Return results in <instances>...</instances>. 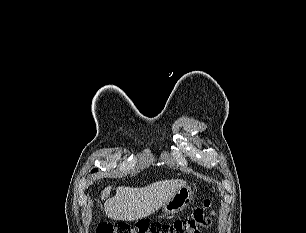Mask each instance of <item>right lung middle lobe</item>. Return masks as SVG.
<instances>
[{"mask_svg":"<svg viewBox=\"0 0 306 233\" xmlns=\"http://www.w3.org/2000/svg\"><path fill=\"white\" fill-rule=\"evenodd\" d=\"M97 171V169H93L92 172Z\"/></svg>","mask_w":306,"mask_h":233,"instance_id":"dd1d6c3e","label":"right lung middle lobe"}]
</instances>
